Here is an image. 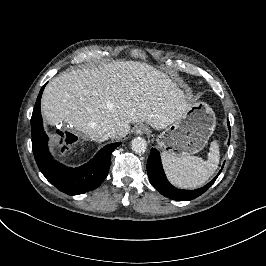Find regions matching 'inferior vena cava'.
<instances>
[{
    "mask_svg": "<svg viewBox=\"0 0 266 266\" xmlns=\"http://www.w3.org/2000/svg\"><path fill=\"white\" fill-rule=\"evenodd\" d=\"M116 134L115 129H107L105 128L104 131H99L97 134V137L99 138V141H105L111 138Z\"/></svg>",
    "mask_w": 266,
    "mask_h": 266,
    "instance_id": "inferior-vena-cava-1",
    "label": "inferior vena cava"
}]
</instances>
